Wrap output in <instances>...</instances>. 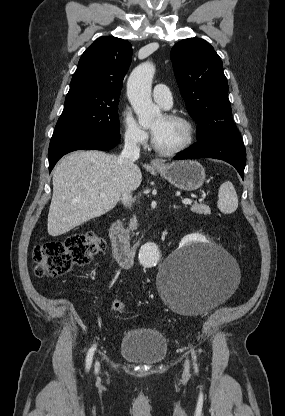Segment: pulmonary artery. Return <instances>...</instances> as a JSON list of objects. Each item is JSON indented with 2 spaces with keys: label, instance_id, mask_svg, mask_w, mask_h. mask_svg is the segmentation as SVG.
<instances>
[{
  "label": "pulmonary artery",
  "instance_id": "obj_1",
  "mask_svg": "<svg viewBox=\"0 0 285 416\" xmlns=\"http://www.w3.org/2000/svg\"><path fill=\"white\" fill-rule=\"evenodd\" d=\"M153 96L157 99L164 108H168L173 100L171 87H166L164 84H157L153 91Z\"/></svg>",
  "mask_w": 285,
  "mask_h": 416
}]
</instances>
